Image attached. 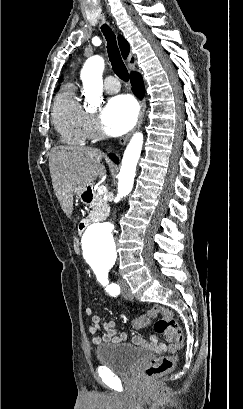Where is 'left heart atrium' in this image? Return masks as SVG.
<instances>
[{"label":"left heart atrium","instance_id":"left-heart-atrium-1","mask_svg":"<svg viewBox=\"0 0 243 409\" xmlns=\"http://www.w3.org/2000/svg\"><path fill=\"white\" fill-rule=\"evenodd\" d=\"M137 112V105L130 96L110 98L100 114L103 130L110 136L126 133L134 126Z\"/></svg>","mask_w":243,"mask_h":409}]
</instances>
